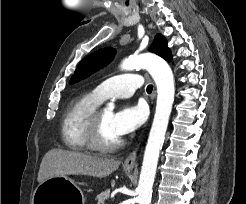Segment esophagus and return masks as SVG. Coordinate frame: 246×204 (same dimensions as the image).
I'll list each match as a JSON object with an SVG mask.
<instances>
[{"instance_id": "34e87169", "label": "esophagus", "mask_w": 246, "mask_h": 204, "mask_svg": "<svg viewBox=\"0 0 246 204\" xmlns=\"http://www.w3.org/2000/svg\"><path fill=\"white\" fill-rule=\"evenodd\" d=\"M138 147L135 148L126 158L124 161V166L127 168H133L136 165V154H137Z\"/></svg>"}]
</instances>
